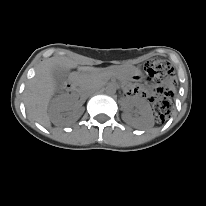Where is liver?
I'll return each instance as SVG.
<instances>
[{"label": "liver", "mask_w": 206, "mask_h": 206, "mask_svg": "<svg viewBox=\"0 0 206 206\" xmlns=\"http://www.w3.org/2000/svg\"><path fill=\"white\" fill-rule=\"evenodd\" d=\"M78 62L65 57L53 56L39 64L35 76L28 81L24 91L25 107L28 117L38 121L42 125L52 121L57 126L70 125L75 122L82 112L73 111L63 116L56 114L53 117L48 114L49 103L56 92L57 85L52 76L56 66L74 68Z\"/></svg>", "instance_id": "6515ba94"}]
</instances>
